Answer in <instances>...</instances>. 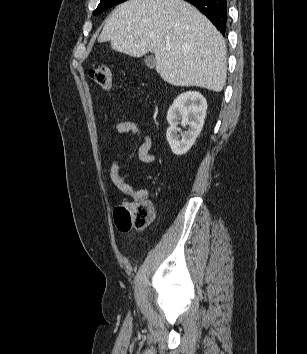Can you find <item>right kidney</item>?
Returning a JSON list of instances; mask_svg holds the SVG:
<instances>
[{"label": "right kidney", "mask_w": 307, "mask_h": 354, "mask_svg": "<svg viewBox=\"0 0 307 354\" xmlns=\"http://www.w3.org/2000/svg\"><path fill=\"white\" fill-rule=\"evenodd\" d=\"M206 109V99L196 91L184 92L174 100L167 112L169 128L166 137L175 155L187 153L195 143L204 124ZM179 124L184 127L189 126L188 130L181 135V139L178 135Z\"/></svg>", "instance_id": "right-kidney-1"}]
</instances>
